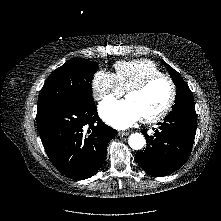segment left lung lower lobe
Listing matches in <instances>:
<instances>
[{
    "label": "left lung lower lobe",
    "mask_w": 221,
    "mask_h": 221,
    "mask_svg": "<svg viewBox=\"0 0 221 221\" xmlns=\"http://www.w3.org/2000/svg\"><path fill=\"white\" fill-rule=\"evenodd\" d=\"M153 136L143 130L147 146L137 156L138 164L153 176H166L187 161L193 146L197 118L195 112L169 113Z\"/></svg>",
    "instance_id": "0a47b994"
}]
</instances>
